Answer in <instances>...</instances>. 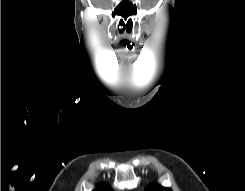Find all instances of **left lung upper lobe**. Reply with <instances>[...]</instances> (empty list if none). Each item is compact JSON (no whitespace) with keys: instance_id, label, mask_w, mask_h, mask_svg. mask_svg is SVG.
<instances>
[{"instance_id":"left-lung-upper-lobe-1","label":"left lung upper lobe","mask_w":245,"mask_h":191,"mask_svg":"<svg viewBox=\"0 0 245 191\" xmlns=\"http://www.w3.org/2000/svg\"><path fill=\"white\" fill-rule=\"evenodd\" d=\"M145 191H172L170 188H165L160 185H150L145 189Z\"/></svg>"}]
</instances>
